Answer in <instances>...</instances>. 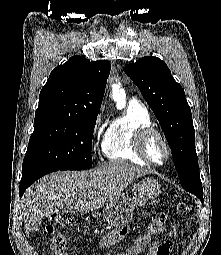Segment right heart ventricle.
Segmentation results:
<instances>
[{
  "instance_id": "1",
  "label": "right heart ventricle",
  "mask_w": 221,
  "mask_h": 255,
  "mask_svg": "<svg viewBox=\"0 0 221 255\" xmlns=\"http://www.w3.org/2000/svg\"><path fill=\"white\" fill-rule=\"evenodd\" d=\"M152 124L147 108L135 100L130 101L126 110L108 124L102 141L104 156L112 161L148 165L136 152L134 137L140 128L152 127Z\"/></svg>"
}]
</instances>
